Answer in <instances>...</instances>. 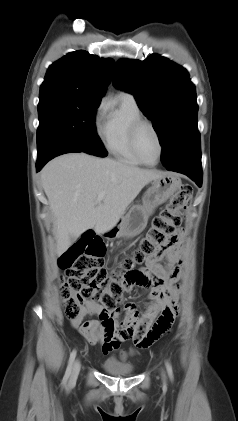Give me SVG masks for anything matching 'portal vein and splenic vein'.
<instances>
[{
  "instance_id": "portal-vein-and-splenic-vein-1",
  "label": "portal vein and splenic vein",
  "mask_w": 238,
  "mask_h": 421,
  "mask_svg": "<svg viewBox=\"0 0 238 421\" xmlns=\"http://www.w3.org/2000/svg\"><path fill=\"white\" fill-rule=\"evenodd\" d=\"M103 197H104V193H99V195L97 197V202H101Z\"/></svg>"
}]
</instances>
